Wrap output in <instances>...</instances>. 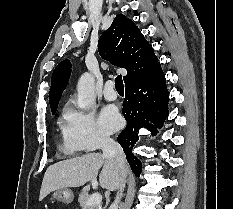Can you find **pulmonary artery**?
Returning <instances> with one entry per match:
<instances>
[{"mask_svg": "<svg viewBox=\"0 0 233 209\" xmlns=\"http://www.w3.org/2000/svg\"><path fill=\"white\" fill-rule=\"evenodd\" d=\"M104 97L107 100H115L117 98V92L114 88V82L109 80L106 82L103 90Z\"/></svg>", "mask_w": 233, "mask_h": 209, "instance_id": "obj_1", "label": "pulmonary artery"}]
</instances>
